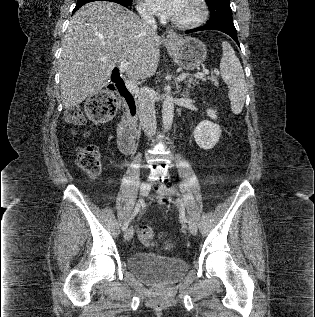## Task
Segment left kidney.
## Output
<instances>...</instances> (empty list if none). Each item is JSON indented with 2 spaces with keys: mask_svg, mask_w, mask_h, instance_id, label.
Returning a JSON list of instances; mask_svg holds the SVG:
<instances>
[{
  "mask_svg": "<svg viewBox=\"0 0 315 317\" xmlns=\"http://www.w3.org/2000/svg\"><path fill=\"white\" fill-rule=\"evenodd\" d=\"M207 115L211 119H217L216 110L207 109ZM220 136V126L208 120L200 122L194 130L195 141L204 150L212 149L218 143Z\"/></svg>",
  "mask_w": 315,
  "mask_h": 317,
  "instance_id": "obj_1",
  "label": "left kidney"
}]
</instances>
